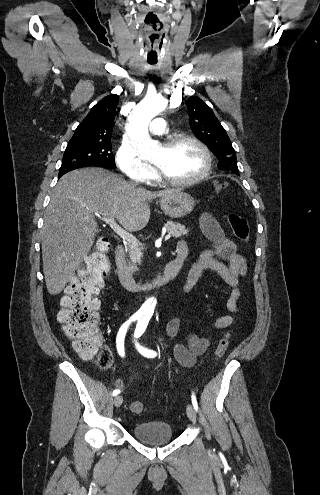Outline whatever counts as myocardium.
<instances>
[{
  "instance_id": "f54148a6",
  "label": "myocardium",
  "mask_w": 320,
  "mask_h": 495,
  "mask_svg": "<svg viewBox=\"0 0 320 495\" xmlns=\"http://www.w3.org/2000/svg\"><path fill=\"white\" fill-rule=\"evenodd\" d=\"M184 142L192 143L199 148V150L201 151V153L204 157L205 164H204L203 170L198 175H196L192 178H189V179H173V178L167 176L159 167L155 166V168L159 174L160 179L163 182L170 184V185H173V186L195 185V184L201 182L202 180H204L209 175V173L212 169L213 160H212V156H211V153H210L208 147L202 141H200L198 138H196L194 136L179 135V136L171 137L163 144V147L172 148V147H174L180 143H184Z\"/></svg>"
}]
</instances>
